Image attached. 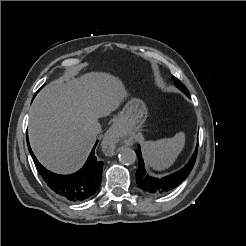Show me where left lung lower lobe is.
Returning a JSON list of instances; mask_svg holds the SVG:
<instances>
[{"instance_id": "0a47b994", "label": "left lung lower lobe", "mask_w": 246, "mask_h": 246, "mask_svg": "<svg viewBox=\"0 0 246 246\" xmlns=\"http://www.w3.org/2000/svg\"><path fill=\"white\" fill-rule=\"evenodd\" d=\"M136 154L139 160L136 171V182L138 186L146 193L160 195L171 191L187 178L196 161L197 147L189 162L181 170L161 179L151 177L146 173L140 146H138Z\"/></svg>"}]
</instances>
